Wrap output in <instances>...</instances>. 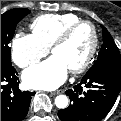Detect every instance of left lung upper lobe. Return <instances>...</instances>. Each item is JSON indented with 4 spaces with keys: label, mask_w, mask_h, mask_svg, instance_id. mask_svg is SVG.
<instances>
[{
    "label": "left lung upper lobe",
    "mask_w": 121,
    "mask_h": 121,
    "mask_svg": "<svg viewBox=\"0 0 121 121\" xmlns=\"http://www.w3.org/2000/svg\"><path fill=\"white\" fill-rule=\"evenodd\" d=\"M103 44L99 52L97 61L89 69L95 71L105 68L121 69V56L120 52L107 29L102 26Z\"/></svg>",
    "instance_id": "left-lung-upper-lobe-1"
}]
</instances>
